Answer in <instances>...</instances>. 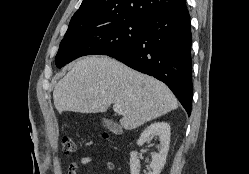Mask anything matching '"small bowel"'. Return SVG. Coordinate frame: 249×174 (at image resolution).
Segmentation results:
<instances>
[{
  "label": "small bowel",
  "instance_id": "1",
  "mask_svg": "<svg viewBox=\"0 0 249 174\" xmlns=\"http://www.w3.org/2000/svg\"><path fill=\"white\" fill-rule=\"evenodd\" d=\"M96 160L97 158L94 156H84L79 161H73L68 166V174H78L81 166L88 165ZM104 166L109 171L114 170V164L111 161H104Z\"/></svg>",
  "mask_w": 249,
  "mask_h": 174
}]
</instances>
